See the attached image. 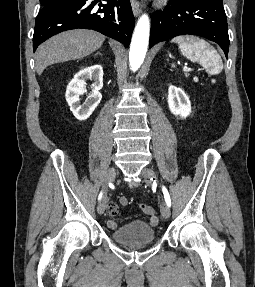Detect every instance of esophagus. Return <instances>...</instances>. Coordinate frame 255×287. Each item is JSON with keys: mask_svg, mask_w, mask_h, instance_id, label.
I'll return each mask as SVG.
<instances>
[{"mask_svg": "<svg viewBox=\"0 0 255 287\" xmlns=\"http://www.w3.org/2000/svg\"><path fill=\"white\" fill-rule=\"evenodd\" d=\"M132 10L135 16H138L141 12L138 0H130Z\"/></svg>", "mask_w": 255, "mask_h": 287, "instance_id": "obj_1", "label": "esophagus"}]
</instances>
